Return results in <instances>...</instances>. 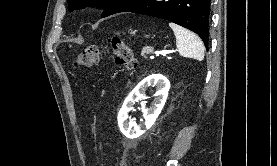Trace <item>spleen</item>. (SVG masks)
Returning <instances> with one entry per match:
<instances>
[{
  "label": "spleen",
  "mask_w": 277,
  "mask_h": 166,
  "mask_svg": "<svg viewBox=\"0 0 277 166\" xmlns=\"http://www.w3.org/2000/svg\"><path fill=\"white\" fill-rule=\"evenodd\" d=\"M176 37V46L181 56L199 61L204 59L205 48L200 38L193 32L175 24L169 23Z\"/></svg>",
  "instance_id": "obj_1"
}]
</instances>
